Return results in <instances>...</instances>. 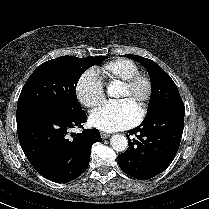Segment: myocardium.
Masks as SVG:
<instances>
[{"label": "myocardium", "mask_w": 209, "mask_h": 209, "mask_svg": "<svg viewBox=\"0 0 209 209\" xmlns=\"http://www.w3.org/2000/svg\"><path fill=\"white\" fill-rule=\"evenodd\" d=\"M139 82H143L146 86V93H145L144 101H143L142 107L140 108L138 112V120L140 121L146 115L149 109L150 102L153 97L154 86H153L152 79L147 74L138 71L132 74L125 81L118 84V86L119 88L125 89L127 91H131Z\"/></svg>", "instance_id": "myocardium-1"}]
</instances>
